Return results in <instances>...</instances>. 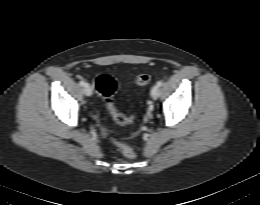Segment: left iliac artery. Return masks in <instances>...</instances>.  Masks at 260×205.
Returning <instances> with one entry per match:
<instances>
[{
  "label": "left iliac artery",
  "mask_w": 260,
  "mask_h": 205,
  "mask_svg": "<svg viewBox=\"0 0 260 205\" xmlns=\"http://www.w3.org/2000/svg\"><path fill=\"white\" fill-rule=\"evenodd\" d=\"M157 85L160 87V86L163 85V82L160 80V81L157 82Z\"/></svg>",
  "instance_id": "left-iliac-artery-1"
}]
</instances>
